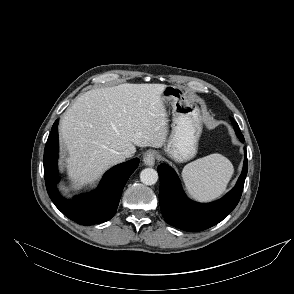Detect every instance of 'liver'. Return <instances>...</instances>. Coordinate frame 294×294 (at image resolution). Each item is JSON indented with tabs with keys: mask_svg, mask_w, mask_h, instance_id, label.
<instances>
[{
	"mask_svg": "<svg viewBox=\"0 0 294 294\" xmlns=\"http://www.w3.org/2000/svg\"><path fill=\"white\" fill-rule=\"evenodd\" d=\"M164 84H120L92 89L65 111L60 132L74 187L96 181L125 160L122 152L161 147L167 136Z\"/></svg>",
	"mask_w": 294,
	"mask_h": 294,
	"instance_id": "obj_1",
	"label": "liver"
}]
</instances>
